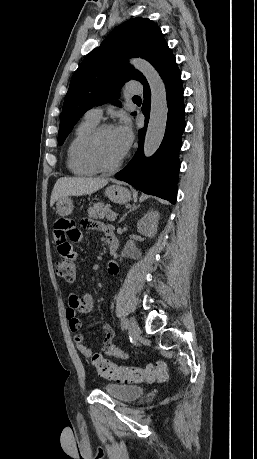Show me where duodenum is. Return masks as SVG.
Masks as SVG:
<instances>
[{
    "mask_svg": "<svg viewBox=\"0 0 257 459\" xmlns=\"http://www.w3.org/2000/svg\"><path fill=\"white\" fill-rule=\"evenodd\" d=\"M106 238H107V243L109 247V251L111 254H115L118 249V240L116 235L114 234L113 231L107 230L105 232Z\"/></svg>",
    "mask_w": 257,
    "mask_h": 459,
    "instance_id": "1",
    "label": "duodenum"
}]
</instances>
